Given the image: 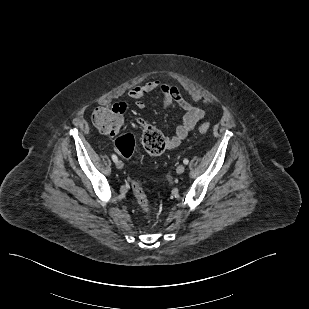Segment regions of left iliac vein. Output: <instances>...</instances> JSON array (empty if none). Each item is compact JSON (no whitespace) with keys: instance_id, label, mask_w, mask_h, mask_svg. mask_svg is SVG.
Here are the masks:
<instances>
[{"instance_id":"obj_1","label":"left iliac vein","mask_w":309,"mask_h":309,"mask_svg":"<svg viewBox=\"0 0 309 309\" xmlns=\"http://www.w3.org/2000/svg\"><path fill=\"white\" fill-rule=\"evenodd\" d=\"M185 171L184 165H179L176 169L177 174H182Z\"/></svg>"}]
</instances>
